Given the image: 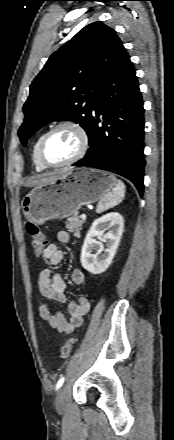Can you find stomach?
I'll use <instances>...</instances> for the list:
<instances>
[{
    "label": "stomach",
    "mask_w": 174,
    "mask_h": 440,
    "mask_svg": "<svg viewBox=\"0 0 174 440\" xmlns=\"http://www.w3.org/2000/svg\"><path fill=\"white\" fill-rule=\"evenodd\" d=\"M114 175L89 168L73 169L54 180L37 185L22 200L25 218L36 224L72 216L83 205L91 204L116 185Z\"/></svg>",
    "instance_id": "obj_1"
}]
</instances>
